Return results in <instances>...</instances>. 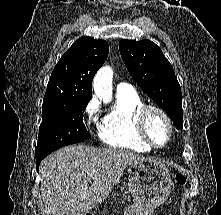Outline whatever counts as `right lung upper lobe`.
Returning <instances> with one entry per match:
<instances>
[{
    "label": "right lung upper lobe",
    "instance_id": "1",
    "mask_svg": "<svg viewBox=\"0 0 221 215\" xmlns=\"http://www.w3.org/2000/svg\"><path fill=\"white\" fill-rule=\"evenodd\" d=\"M105 40L79 38L64 53L52 71L43 103L61 100H90L92 80L107 59Z\"/></svg>",
    "mask_w": 221,
    "mask_h": 215
}]
</instances>
